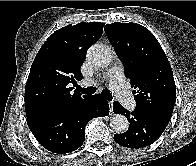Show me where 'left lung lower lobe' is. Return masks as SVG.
<instances>
[{"mask_svg": "<svg viewBox=\"0 0 196 166\" xmlns=\"http://www.w3.org/2000/svg\"><path fill=\"white\" fill-rule=\"evenodd\" d=\"M113 111L121 113L129 121V128L125 133L115 134L116 143L127 148H141L154 143L163 133L169 121L153 115L134 110H126L119 102L113 103Z\"/></svg>", "mask_w": 196, "mask_h": 166, "instance_id": "1", "label": "left lung lower lobe"}]
</instances>
